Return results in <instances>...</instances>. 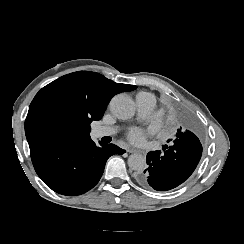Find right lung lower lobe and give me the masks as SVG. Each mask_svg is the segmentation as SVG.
<instances>
[{
	"instance_id": "1",
	"label": "right lung lower lobe",
	"mask_w": 244,
	"mask_h": 244,
	"mask_svg": "<svg viewBox=\"0 0 244 244\" xmlns=\"http://www.w3.org/2000/svg\"><path fill=\"white\" fill-rule=\"evenodd\" d=\"M32 163L43 182L57 193L80 195L100 180L107 159L125 150L91 139L41 140L29 144Z\"/></svg>"
}]
</instances>
